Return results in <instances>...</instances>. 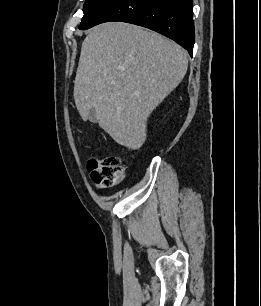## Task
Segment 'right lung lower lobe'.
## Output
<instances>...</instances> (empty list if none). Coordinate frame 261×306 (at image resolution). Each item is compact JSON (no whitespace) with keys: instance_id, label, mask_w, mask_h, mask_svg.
Returning <instances> with one entry per match:
<instances>
[{"instance_id":"1","label":"right lung lower lobe","mask_w":261,"mask_h":306,"mask_svg":"<svg viewBox=\"0 0 261 306\" xmlns=\"http://www.w3.org/2000/svg\"><path fill=\"white\" fill-rule=\"evenodd\" d=\"M193 0H114L88 26L127 22L161 33L182 45L192 56L195 31Z\"/></svg>"}]
</instances>
